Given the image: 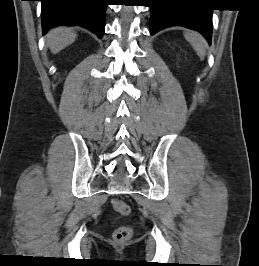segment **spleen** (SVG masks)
<instances>
[{
    "label": "spleen",
    "instance_id": "1",
    "mask_svg": "<svg viewBox=\"0 0 259 266\" xmlns=\"http://www.w3.org/2000/svg\"><path fill=\"white\" fill-rule=\"evenodd\" d=\"M186 40L192 45L198 56L203 59L205 57V40L196 32H186Z\"/></svg>",
    "mask_w": 259,
    "mask_h": 266
}]
</instances>
